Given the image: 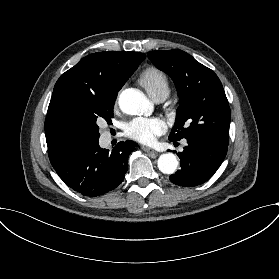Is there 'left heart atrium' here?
Instances as JSON below:
<instances>
[{
  "label": "left heart atrium",
  "instance_id": "left-heart-atrium-1",
  "mask_svg": "<svg viewBox=\"0 0 279 279\" xmlns=\"http://www.w3.org/2000/svg\"><path fill=\"white\" fill-rule=\"evenodd\" d=\"M165 131V125L157 117H137L124 126V134L137 142L149 144Z\"/></svg>",
  "mask_w": 279,
  "mask_h": 279
}]
</instances>
